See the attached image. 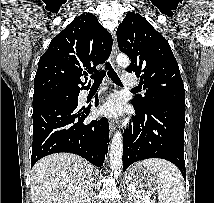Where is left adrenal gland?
<instances>
[{
    "label": "left adrenal gland",
    "mask_w": 214,
    "mask_h": 203,
    "mask_svg": "<svg viewBox=\"0 0 214 203\" xmlns=\"http://www.w3.org/2000/svg\"><path fill=\"white\" fill-rule=\"evenodd\" d=\"M128 198H129V200H131V195H130V193L128 192Z\"/></svg>",
    "instance_id": "left-adrenal-gland-1"
}]
</instances>
